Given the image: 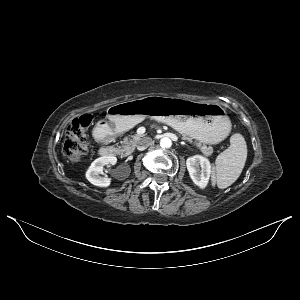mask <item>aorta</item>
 I'll list each match as a JSON object with an SVG mask.
<instances>
[{
	"mask_svg": "<svg viewBox=\"0 0 300 300\" xmlns=\"http://www.w3.org/2000/svg\"><path fill=\"white\" fill-rule=\"evenodd\" d=\"M160 146L162 148H170L172 146V141L170 138L168 137H163L161 140H160Z\"/></svg>",
	"mask_w": 300,
	"mask_h": 300,
	"instance_id": "aorta-1",
	"label": "aorta"
}]
</instances>
